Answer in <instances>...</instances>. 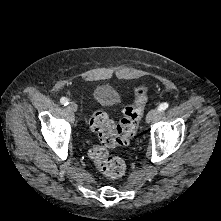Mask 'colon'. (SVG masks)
<instances>
[{
	"label": "colon",
	"instance_id": "colon-1",
	"mask_svg": "<svg viewBox=\"0 0 221 221\" xmlns=\"http://www.w3.org/2000/svg\"><path fill=\"white\" fill-rule=\"evenodd\" d=\"M146 103V88L139 86L134 89L133 102L125 107L119 124L115 125L102 110L93 113L90 127L98 135L101 145L91 148L89 157L106 177L116 179L125 173L124 161L111 156L108 149L130 143L137 132Z\"/></svg>",
	"mask_w": 221,
	"mask_h": 221
}]
</instances>
